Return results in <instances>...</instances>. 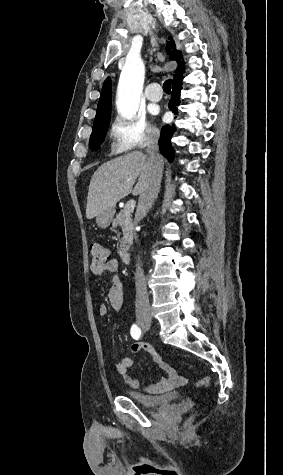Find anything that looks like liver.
Instances as JSON below:
<instances>
[{"label":"liver","instance_id":"liver-1","mask_svg":"<svg viewBox=\"0 0 283 475\" xmlns=\"http://www.w3.org/2000/svg\"><path fill=\"white\" fill-rule=\"evenodd\" d=\"M147 168L149 162L142 152H130L100 166L90 180L86 218L92 220L104 210H111L131 192L134 196L143 194L149 178Z\"/></svg>","mask_w":283,"mask_h":475}]
</instances>
